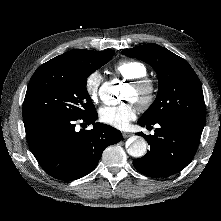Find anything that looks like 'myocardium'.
I'll list each match as a JSON object with an SVG mask.
<instances>
[{
    "label": "myocardium",
    "instance_id": "f54148a6",
    "mask_svg": "<svg viewBox=\"0 0 221 221\" xmlns=\"http://www.w3.org/2000/svg\"><path fill=\"white\" fill-rule=\"evenodd\" d=\"M129 85L132 86L137 93L135 101L140 109L145 110L153 104L157 94V86L152 78L143 76L131 80Z\"/></svg>",
    "mask_w": 221,
    "mask_h": 221
}]
</instances>
